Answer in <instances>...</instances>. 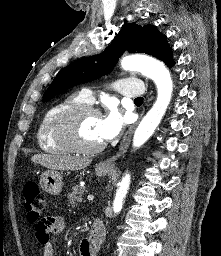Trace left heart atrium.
<instances>
[{"label":"left heart atrium","instance_id":"1","mask_svg":"<svg viewBox=\"0 0 221 256\" xmlns=\"http://www.w3.org/2000/svg\"><path fill=\"white\" fill-rule=\"evenodd\" d=\"M127 118L116 106H109L106 113L100 117L98 132L102 141L114 139L127 123Z\"/></svg>","mask_w":221,"mask_h":256}]
</instances>
